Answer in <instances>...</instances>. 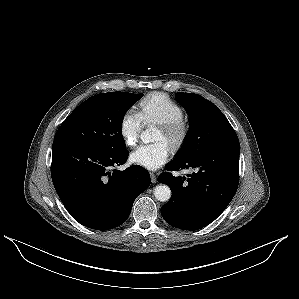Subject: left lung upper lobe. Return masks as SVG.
<instances>
[{
	"label": "left lung upper lobe",
	"mask_w": 299,
	"mask_h": 299,
	"mask_svg": "<svg viewBox=\"0 0 299 299\" xmlns=\"http://www.w3.org/2000/svg\"><path fill=\"white\" fill-rule=\"evenodd\" d=\"M189 114L190 130L175 160L197 157L211 147L237 137L224 114L212 102L191 93H176Z\"/></svg>",
	"instance_id": "obj_1"
}]
</instances>
